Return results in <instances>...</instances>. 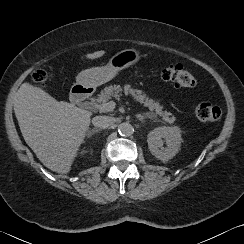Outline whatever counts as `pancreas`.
I'll return each mask as SVG.
<instances>
[{
	"label": "pancreas",
	"mask_w": 244,
	"mask_h": 244,
	"mask_svg": "<svg viewBox=\"0 0 244 244\" xmlns=\"http://www.w3.org/2000/svg\"><path fill=\"white\" fill-rule=\"evenodd\" d=\"M122 92H124L125 95H131L136 102L141 103L144 107H148L149 110L155 114V116L162 117V120L164 122L169 124H174L176 122L175 116H173L170 112L163 111V106H161L159 102L150 99L141 90L131 88L130 85H124L123 88L120 85L107 86L100 92L97 98L93 99V103L105 104L112 97L119 99L120 96H122ZM109 111H101V112H109Z\"/></svg>",
	"instance_id": "1"
}]
</instances>
